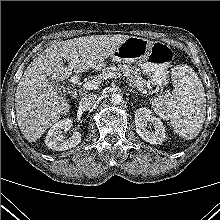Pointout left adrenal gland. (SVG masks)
Masks as SVG:
<instances>
[{
    "label": "left adrenal gland",
    "instance_id": "left-adrenal-gland-1",
    "mask_svg": "<svg viewBox=\"0 0 220 220\" xmlns=\"http://www.w3.org/2000/svg\"><path fill=\"white\" fill-rule=\"evenodd\" d=\"M127 91L132 92V93H136L135 90H132V89H128Z\"/></svg>",
    "mask_w": 220,
    "mask_h": 220
}]
</instances>
